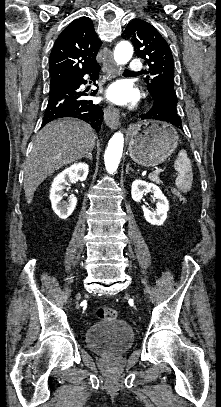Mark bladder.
<instances>
[{"label":"bladder","mask_w":221,"mask_h":407,"mask_svg":"<svg viewBox=\"0 0 221 407\" xmlns=\"http://www.w3.org/2000/svg\"><path fill=\"white\" fill-rule=\"evenodd\" d=\"M86 344L92 351L103 355L120 354L131 348L134 331L125 320L99 322L87 327Z\"/></svg>","instance_id":"1"}]
</instances>
